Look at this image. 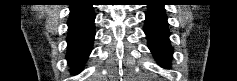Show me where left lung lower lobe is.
Returning a JSON list of instances; mask_svg holds the SVG:
<instances>
[{"mask_svg": "<svg viewBox=\"0 0 237 81\" xmlns=\"http://www.w3.org/2000/svg\"><path fill=\"white\" fill-rule=\"evenodd\" d=\"M144 31L148 39V47L157 62L168 67L173 54L170 46L167 17L163 5H148Z\"/></svg>", "mask_w": 237, "mask_h": 81, "instance_id": "1", "label": "left lung lower lobe"}]
</instances>
